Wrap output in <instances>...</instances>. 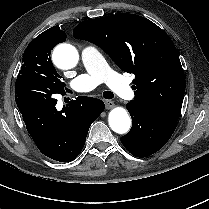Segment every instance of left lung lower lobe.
<instances>
[{
	"label": "left lung lower lobe",
	"instance_id": "left-lung-lower-lobe-1",
	"mask_svg": "<svg viewBox=\"0 0 209 209\" xmlns=\"http://www.w3.org/2000/svg\"><path fill=\"white\" fill-rule=\"evenodd\" d=\"M132 128L123 137L124 147L136 157H147L161 149L172 136L177 121L153 113L139 105L127 103Z\"/></svg>",
	"mask_w": 209,
	"mask_h": 209
}]
</instances>
